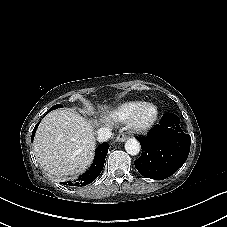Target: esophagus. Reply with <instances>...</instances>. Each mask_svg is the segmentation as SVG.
Instances as JSON below:
<instances>
[{"label": "esophagus", "instance_id": "34e87169", "mask_svg": "<svg viewBox=\"0 0 227 227\" xmlns=\"http://www.w3.org/2000/svg\"><path fill=\"white\" fill-rule=\"evenodd\" d=\"M127 136L123 133V134H119L116 139L115 142H124L126 140Z\"/></svg>", "mask_w": 227, "mask_h": 227}]
</instances>
